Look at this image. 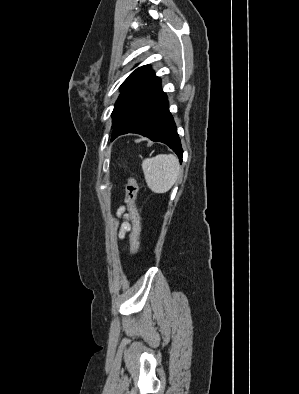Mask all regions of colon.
<instances>
[{"label": "colon", "mask_w": 299, "mask_h": 394, "mask_svg": "<svg viewBox=\"0 0 299 394\" xmlns=\"http://www.w3.org/2000/svg\"><path fill=\"white\" fill-rule=\"evenodd\" d=\"M125 204L132 220L131 244L132 253L137 255L140 250L141 218L136 208L138 184L134 178H127L125 184Z\"/></svg>", "instance_id": "5ec220e1"}]
</instances>
